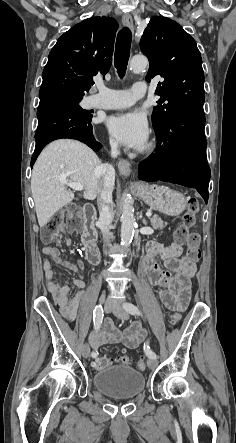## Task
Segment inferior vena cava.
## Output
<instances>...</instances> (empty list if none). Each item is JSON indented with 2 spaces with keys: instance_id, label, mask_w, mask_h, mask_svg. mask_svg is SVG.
I'll use <instances>...</instances> for the list:
<instances>
[{
  "instance_id": "obj_1",
  "label": "inferior vena cava",
  "mask_w": 236,
  "mask_h": 443,
  "mask_svg": "<svg viewBox=\"0 0 236 443\" xmlns=\"http://www.w3.org/2000/svg\"><path fill=\"white\" fill-rule=\"evenodd\" d=\"M111 156L116 158L120 152L118 150V143L111 139ZM97 174L100 177L101 185L98 192L97 203L99 209V227L103 234L104 241L109 243L111 235L109 226L113 219V201L112 192L115 182V169L111 164H102L97 168ZM109 303H113L112 299H108Z\"/></svg>"
}]
</instances>
